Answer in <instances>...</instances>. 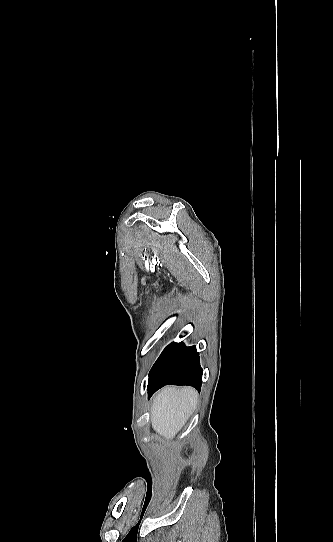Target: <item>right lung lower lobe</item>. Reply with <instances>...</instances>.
<instances>
[{
    "instance_id": "right-lung-lower-lobe-1",
    "label": "right lung lower lobe",
    "mask_w": 333,
    "mask_h": 542,
    "mask_svg": "<svg viewBox=\"0 0 333 542\" xmlns=\"http://www.w3.org/2000/svg\"><path fill=\"white\" fill-rule=\"evenodd\" d=\"M202 374L196 347H186L183 343H171L151 368L147 386L149 398L158 389L168 384L189 385L200 391Z\"/></svg>"
}]
</instances>
